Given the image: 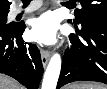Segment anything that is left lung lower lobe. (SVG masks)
I'll use <instances>...</instances> for the list:
<instances>
[{
    "instance_id": "1",
    "label": "left lung lower lobe",
    "mask_w": 107,
    "mask_h": 89,
    "mask_svg": "<svg viewBox=\"0 0 107 89\" xmlns=\"http://www.w3.org/2000/svg\"><path fill=\"white\" fill-rule=\"evenodd\" d=\"M75 30L81 42L71 34V48L64 55L57 89L74 81H97L107 84V19H89Z\"/></svg>"
}]
</instances>
